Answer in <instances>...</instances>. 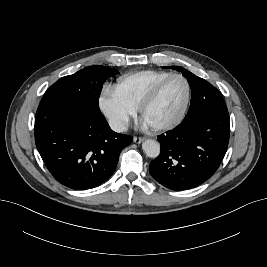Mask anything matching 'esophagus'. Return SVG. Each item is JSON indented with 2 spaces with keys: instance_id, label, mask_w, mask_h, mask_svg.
I'll return each mask as SVG.
<instances>
[{
  "instance_id": "34e87169",
  "label": "esophagus",
  "mask_w": 267,
  "mask_h": 267,
  "mask_svg": "<svg viewBox=\"0 0 267 267\" xmlns=\"http://www.w3.org/2000/svg\"><path fill=\"white\" fill-rule=\"evenodd\" d=\"M133 140L135 143L140 144L141 142L144 141V138L143 137H134Z\"/></svg>"
}]
</instances>
